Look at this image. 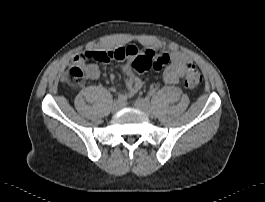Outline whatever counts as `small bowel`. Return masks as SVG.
<instances>
[{"instance_id":"c3829d8e","label":"small bowel","mask_w":265,"mask_h":202,"mask_svg":"<svg viewBox=\"0 0 265 202\" xmlns=\"http://www.w3.org/2000/svg\"><path fill=\"white\" fill-rule=\"evenodd\" d=\"M122 49L127 56L125 57L126 63L123 65V74L124 82L127 87V92L124 97H131L140 91L144 85V81L134 75L131 64L134 57L137 55V49L133 46H128ZM86 51L79 52L74 58V62L82 65L85 76L89 80H96L100 76L99 68L96 64L90 63V60H85L83 55ZM106 51H95V53H105ZM170 64L167 66L163 73V80L168 84H177L180 80L183 79L187 65L193 64L192 58L190 55L180 52L173 51L169 55ZM111 78H114V75L111 74ZM111 91H115V87L110 88Z\"/></svg>"}]
</instances>
